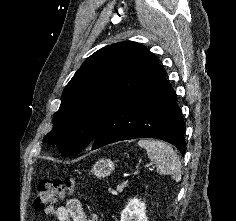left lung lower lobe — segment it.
Returning <instances> with one entry per match:
<instances>
[{"mask_svg": "<svg viewBox=\"0 0 236 221\" xmlns=\"http://www.w3.org/2000/svg\"><path fill=\"white\" fill-rule=\"evenodd\" d=\"M177 95L158 65L108 116L92 142V150L117 141L157 138L186 151L185 123Z\"/></svg>", "mask_w": 236, "mask_h": 221, "instance_id": "0a47b994", "label": "left lung lower lobe"}]
</instances>
